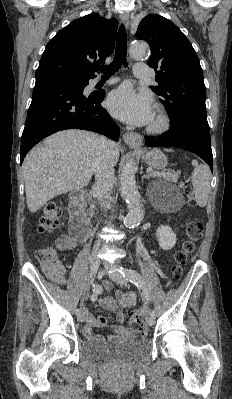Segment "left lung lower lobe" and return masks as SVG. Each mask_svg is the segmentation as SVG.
I'll list each match as a JSON object with an SVG mask.
<instances>
[{"mask_svg":"<svg viewBox=\"0 0 232 399\" xmlns=\"http://www.w3.org/2000/svg\"><path fill=\"white\" fill-rule=\"evenodd\" d=\"M148 147H177L201 157L213 171V155L210 139L186 129H170L159 136H145Z\"/></svg>","mask_w":232,"mask_h":399,"instance_id":"1","label":"left lung lower lobe"}]
</instances>
